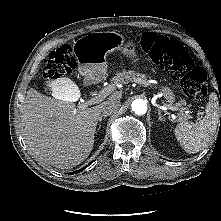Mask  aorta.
Returning <instances> with one entry per match:
<instances>
[{
  "label": "aorta",
  "mask_w": 221,
  "mask_h": 221,
  "mask_svg": "<svg viewBox=\"0 0 221 221\" xmlns=\"http://www.w3.org/2000/svg\"><path fill=\"white\" fill-rule=\"evenodd\" d=\"M132 110L137 115H143L147 111V104L143 99H136L132 102Z\"/></svg>",
  "instance_id": "1"
}]
</instances>
